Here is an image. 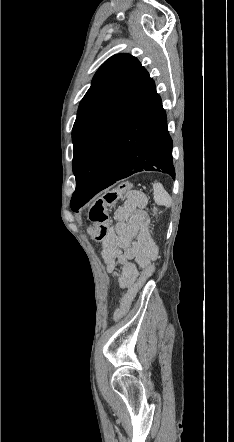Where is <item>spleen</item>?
Segmentation results:
<instances>
[{"label": "spleen", "instance_id": "obj_1", "mask_svg": "<svg viewBox=\"0 0 234 442\" xmlns=\"http://www.w3.org/2000/svg\"><path fill=\"white\" fill-rule=\"evenodd\" d=\"M154 201L157 205L170 207L172 199L161 183L155 181L153 183Z\"/></svg>", "mask_w": 234, "mask_h": 442}]
</instances>
